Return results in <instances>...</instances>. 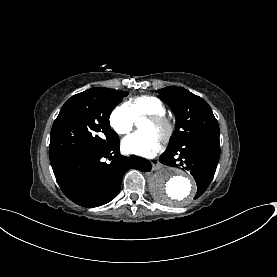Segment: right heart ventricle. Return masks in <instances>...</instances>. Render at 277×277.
Here are the masks:
<instances>
[{"label":"right heart ventricle","instance_id":"right-heart-ventricle-1","mask_svg":"<svg viewBox=\"0 0 277 277\" xmlns=\"http://www.w3.org/2000/svg\"><path fill=\"white\" fill-rule=\"evenodd\" d=\"M126 106L130 110L134 120L151 112L165 113L164 104L158 98L153 96L135 97L131 99Z\"/></svg>","mask_w":277,"mask_h":277}]
</instances>
